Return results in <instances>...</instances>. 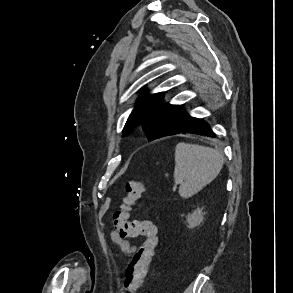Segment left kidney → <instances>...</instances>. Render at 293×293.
<instances>
[{"label":"left kidney","mask_w":293,"mask_h":293,"mask_svg":"<svg viewBox=\"0 0 293 293\" xmlns=\"http://www.w3.org/2000/svg\"><path fill=\"white\" fill-rule=\"evenodd\" d=\"M205 212L202 209L197 208L192 213H189L186 218V223L188 224V228H195L196 226L200 225L203 221Z\"/></svg>","instance_id":"obj_1"}]
</instances>
